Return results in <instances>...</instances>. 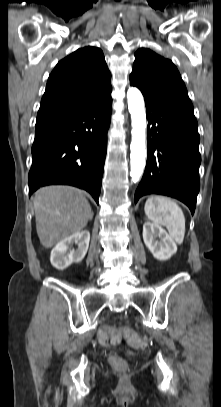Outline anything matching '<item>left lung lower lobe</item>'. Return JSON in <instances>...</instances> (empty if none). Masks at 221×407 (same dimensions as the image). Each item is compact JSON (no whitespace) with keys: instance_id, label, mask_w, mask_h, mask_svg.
I'll return each mask as SVG.
<instances>
[{"instance_id":"obj_1","label":"left lung lower lobe","mask_w":221,"mask_h":407,"mask_svg":"<svg viewBox=\"0 0 221 407\" xmlns=\"http://www.w3.org/2000/svg\"><path fill=\"white\" fill-rule=\"evenodd\" d=\"M147 162L135 203L148 194L174 197L195 211L201 156L193 105L185 97L145 100Z\"/></svg>"}]
</instances>
